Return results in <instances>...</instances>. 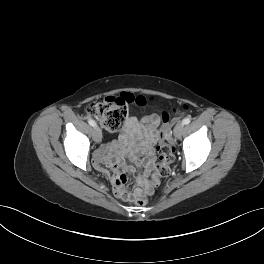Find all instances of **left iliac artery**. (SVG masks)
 <instances>
[{
  "instance_id": "obj_1",
  "label": "left iliac artery",
  "mask_w": 264,
  "mask_h": 264,
  "mask_svg": "<svg viewBox=\"0 0 264 264\" xmlns=\"http://www.w3.org/2000/svg\"><path fill=\"white\" fill-rule=\"evenodd\" d=\"M191 122V119L190 118H185V119H183V121H182V123L184 124V125H186V124H189Z\"/></svg>"
}]
</instances>
